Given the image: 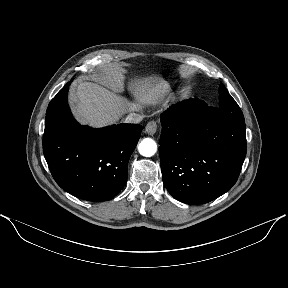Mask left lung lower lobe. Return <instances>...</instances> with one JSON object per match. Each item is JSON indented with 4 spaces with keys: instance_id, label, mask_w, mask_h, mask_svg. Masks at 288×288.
Here are the masks:
<instances>
[{
    "instance_id": "0a47b994",
    "label": "left lung lower lobe",
    "mask_w": 288,
    "mask_h": 288,
    "mask_svg": "<svg viewBox=\"0 0 288 288\" xmlns=\"http://www.w3.org/2000/svg\"><path fill=\"white\" fill-rule=\"evenodd\" d=\"M204 101L189 99L161 115L159 153L168 192L186 204H203L237 181L245 156V126L219 118Z\"/></svg>"
}]
</instances>
